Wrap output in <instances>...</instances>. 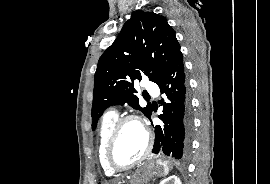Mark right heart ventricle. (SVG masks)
<instances>
[{
	"label": "right heart ventricle",
	"mask_w": 270,
	"mask_h": 184,
	"mask_svg": "<svg viewBox=\"0 0 270 184\" xmlns=\"http://www.w3.org/2000/svg\"><path fill=\"white\" fill-rule=\"evenodd\" d=\"M117 119H118L117 113L114 111H109L103 116L99 128V145H98L99 161L104 173L109 176L113 175L115 171L110 169L106 164L104 153L108 137Z\"/></svg>",
	"instance_id": "e07e8e85"
}]
</instances>
